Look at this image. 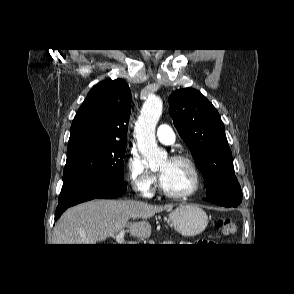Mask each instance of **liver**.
Instances as JSON below:
<instances>
[{
    "mask_svg": "<svg viewBox=\"0 0 294 294\" xmlns=\"http://www.w3.org/2000/svg\"><path fill=\"white\" fill-rule=\"evenodd\" d=\"M172 205L156 206L134 200L97 199L68 209L57 221L54 244H96L127 228L132 236L149 237L147 219ZM141 221L129 222L130 219Z\"/></svg>",
    "mask_w": 294,
    "mask_h": 294,
    "instance_id": "obj_1",
    "label": "liver"
}]
</instances>
